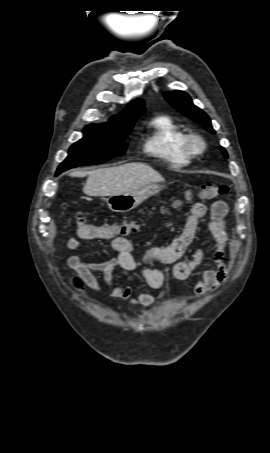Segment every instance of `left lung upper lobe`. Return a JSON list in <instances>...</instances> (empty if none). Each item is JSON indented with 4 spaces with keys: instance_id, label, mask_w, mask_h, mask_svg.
<instances>
[{
    "instance_id": "left-lung-upper-lobe-1",
    "label": "left lung upper lobe",
    "mask_w": 270,
    "mask_h": 453,
    "mask_svg": "<svg viewBox=\"0 0 270 453\" xmlns=\"http://www.w3.org/2000/svg\"><path fill=\"white\" fill-rule=\"evenodd\" d=\"M164 97L179 112L201 123L209 132L211 133L215 132L214 129L212 128L210 118L204 111H202L200 108H198L192 103V100L187 93L183 91H175L166 93ZM221 150L223 154L227 157L226 150L223 147H221Z\"/></svg>"
}]
</instances>
